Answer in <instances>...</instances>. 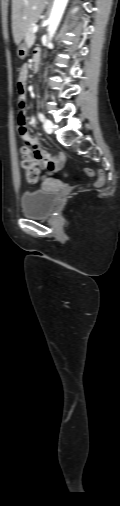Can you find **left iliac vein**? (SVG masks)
I'll return each mask as SVG.
<instances>
[{
    "instance_id": "left-iliac-vein-1",
    "label": "left iliac vein",
    "mask_w": 120,
    "mask_h": 506,
    "mask_svg": "<svg viewBox=\"0 0 120 506\" xmlns=\"http://www.w3.org/2000/svg\"><path fill=\"white\" fill-rule=\"evenodd\" d=\"M44 129L45 131L50 134L53 131V124L49 119H46L44 122Z\"/></svg>"
}]
</instances>
